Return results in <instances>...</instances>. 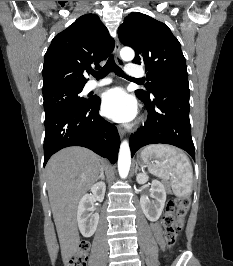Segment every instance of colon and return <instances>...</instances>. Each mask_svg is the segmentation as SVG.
Masks as SVG:
<instances>
[{"label": "colon", "instance_id": "1", "mask_svg": "<svg viewBox=\"0 0 233 266\" xmlns=\"http://www.w3.org/2000/svg\"><path fill=\"white\" fill-rule=\"evenodd\" d=\"M189 206L190 199L188 197H175L167 202L162 222L165 227V241L168 247L175 244L176 238L184 226V219ZM88 251V241L82 240L76 252L68 258L66 266H86Z\"/></svg>", "mask_w": 233, "mask_h": 266}]
</instances>
